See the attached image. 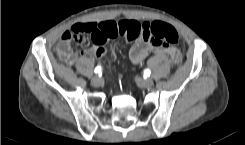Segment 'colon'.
<instances>
[{"mask_svg":"<svg viewBox=\"0 0 245 145\" xmlns=\"http://www.w3.org/2000/svg\"><path fill=\"white\" fill-rule=\"evenodd\" d=\"M140 34L143 38L147 39L150 43L163 46H174L179 41L178 31L171 25L155 21L147 23L143 27L135 21H122L119 23L118 28L112 30L109 33L110 38H116L121 36L123 41L128 44L134 41ZM96 35L93 26L85 23H76L72 25L66 35V39L83 40L87 36ZM69 50L67 48L62 49L63 58L69 56ZM180 55L178 52L173 54V63L178 65L180 63Z\"/></svg>","mask_w":245,"mask_h":145,"instance_id":"1","label":"colon"}]
</instances>
